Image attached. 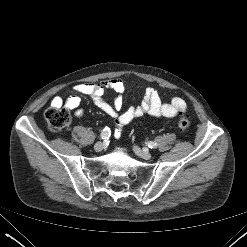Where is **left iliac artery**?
I'll list each match as a JSON object with an SVG mask.
<instances>
[{"label": "left iliac artery", "instance_id": "obj_1", "mask_svg": "<svg viewBox=\"0 0 247 247\" xmlns=\"http://www.w3.org/2000/svg\"><path fill=\"white\" fill-rule=\"evenodd\" d=\"M147 146L151 149L157 148V144L153 141L147 142Z\"/></svg>", "mask_w": 247, "mask_h": 247}]
</instances>
